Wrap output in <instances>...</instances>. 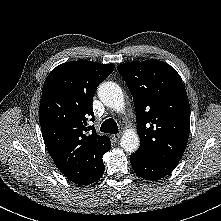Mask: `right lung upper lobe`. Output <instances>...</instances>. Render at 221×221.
<instances>
[{
	"instance_id": "obj_1",
	"label": "right lung upper lobe",
	"mask_w": 221,
	"mask_h": 221,
	"mask_svg": "<svg viewBox=\"0 0 221 221\" xmlns=\"http://www.w3.org/2000/svg\"><path fill=\"white\" fill-rule=\"evenodd\" d=\"M113 69L114 64L67 62L54 68L43 86L39 119L46 147L56 167L78 185L90 184L105 168L110 139L97 135L87 121H94L98 85Z\"/></svg>"
}]
</instances>
